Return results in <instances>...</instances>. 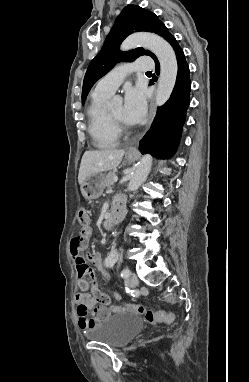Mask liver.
Listing matches in <instances>:
<instances>
[{"label": "liver", "mask_w": 249, "mask_h": 382, "mask_svg": "<svg viewBox=\"0 0 249 382\" xmlns=\"http://www.w3.org/2000/svg\"><path fill=\"white\" fill-rule=\"evenodd\" d=\"M124 154L123 149L86 151L79 168V184L82 186L86 178L93 173L115 169L121 163Z\"/></svg>", "instance_id": "liver-1"}]
</instances>
